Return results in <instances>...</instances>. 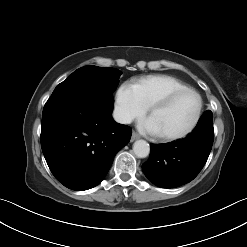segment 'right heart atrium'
Here are the masks:
<instances>
[{
    "label": "right heart atrium",
    "mask_w": 247,
    "mask_h": 247,
    "mask_svg": "<svg viewBox=\"0 0 247 247\" xmlns=\"http://www.w3.org/2000/svg\"><path fill=\"white\" fill-rule=\"evenodd\" d=\"M114 110L122 123H130L145 114L146 107L134 84L125 82L120 85L115 96Z\"/></svg>",
    "instance_id": "right-heart-atrium-1"
}]
</instances>
